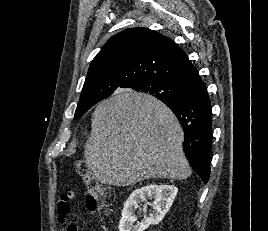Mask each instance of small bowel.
I'll return each instance as SVG.
<instances>
[{
  "label": "small bowel",
  "mask_w": 268,
  "mask_h": 231,
  "mask_svg": "<svg viewBox=\"0 0 268 231\" xmlns=\"http://www.w3.org/2000/svg\"><path fill=\"white\" fill-rule=\"evenodd\" d=\"M70 195H62L58 203L57 223L66 228V231H80L78 225L69 221Z\"/></svg>",
  "instance_id": "obj_1"
}]
</instances>
